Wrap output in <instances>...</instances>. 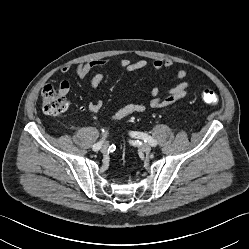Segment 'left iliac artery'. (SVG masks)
<instances>
[{"instance_id": "1", "label": "left iliac artery", "mask_w": 249, "mask_h": 249, "mask_svg": "<svg viewBox=\"0 0 249 249\" xmlns=\"http://www.w3.org/2000/svg\"><path fill=\"white\" fill-rule=\"evenodd\" d=\"M131 135L135 138H140L143 139L144 142L149 143L151 146H156L157 145V141L155 139H153L151 136L142 133V132H132Z\"/></svg>"}]
</instances>
